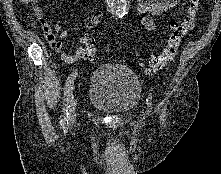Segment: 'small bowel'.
Wrapping results in <instances>:
<instances>
[{"label":"small bowel","instance_id":"c3829d8e","mask_svg":"<svg viewBox=\"0 0 221 174\" xmlns=\"http://www.w3.org/2000/svg\"><path fill=\"white\" fill-rule=\"evenodd\" d=\"M179 0H137L136 10L139 14L141 24L148 31L155 29L154 17L175 8ZM37 19L42 27L44 36L48 43L61 55V59L67 64H73L82 57L81 49L79 48L74 54L67 53L61 40L68 36V30L65 26L59 23H51L46 18L45 13L41 9L36 10ZM103 18L101 11H96L90 18L87 27L93 28L97 26ZM58 34V36L55 35Z\"/></svg>","mask_w":221,"mask_h":174}]
</instances>
